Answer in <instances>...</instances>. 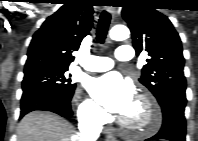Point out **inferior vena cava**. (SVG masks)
<instances>
[{
	"label": "inferior vena cava",
	"mask_w": 198,
	"mask_h": 141,
	"mask_svg": "<svg viewBox=\"0 0 198 141\" xmlns=\"http://www.w3.org/2000/svg\"><path fill=\"white\" fill-rule=\"evenodd\" d=\"M81 141H96L102 129V122L93 116L79 125Z\"/></svg>",
	"instance_id": "602c4592"
}]
</instances>
